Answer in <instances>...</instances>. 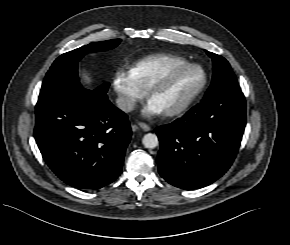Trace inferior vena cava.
Masks as SVG:
<instances>
[{"label": "inferior vena cava", "mask_w": 290, "mask_h": 245, "mask_svg": "<svg viewBox=\"0 0 290 245\" xmlns=\"http://www.w3.org/2000/svg\"><path fill=\"white\" fill-rule=\"evenodd\" d=\"M117 107L123 112H131L134 109L135 103L128 96L122 95L116 99Z\"/></svg>", "instance_id": "inferior-vena-cava-1"}]
</instances>
